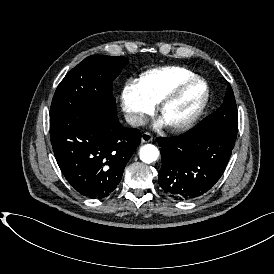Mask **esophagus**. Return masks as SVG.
I'll return each instance as SVG.
<instances>
[{"instance_id":"1","label":"esophagus","mask_w":274,"mask_h":274,"mask_svg":"<svg viewBox=\"0 0 274 274\" xmlns=\"http://www.w3.org/2000/svg\"><path fill=\"white\" fill-rule=\"evenodd\" d=\"M141 140L143 143L151 142L153 140V135L149 132H144L141 135Z\"/></svg>"}]
</instances>
